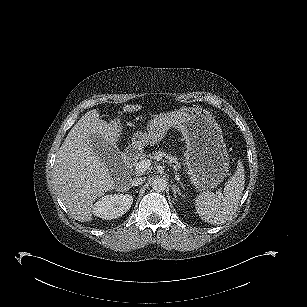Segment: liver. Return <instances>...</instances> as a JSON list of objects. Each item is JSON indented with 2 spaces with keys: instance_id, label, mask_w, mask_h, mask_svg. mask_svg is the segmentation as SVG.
Masks as SVG:
<instances>
[{
  "instance_id": "obj_1",
  "label": "liver",
  "mask_w": 307,
  "mask_h": 307,
  "mask_svg": "<svg viewBox=\"0 0 307 307\" xmlns=\"http://www.w3.org/2000/svg\"><path fill=\"white\" fill-rule=\"evenodd\" d=\"M125 108L135 110L138 107ZM121 129L118 122L107 123L97 110H91L72 127L56 153L53 183L70 215L78 221H91L93 202L115 187L109 165L121 157L117 144ZM96 139L116 149L119 155L106 162L92 148ZM134 146L140 148L142 145Z\"/></svg>"
}]
</instances>
